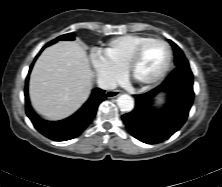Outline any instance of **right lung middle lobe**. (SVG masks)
Listing matches in <instances>:
<instances>
[{"label": "right lung middle lobe", "mask_w": 222, "mask_h": 187, "mask_svg": "<svg viewBox=\"0 0 222 187\" xmlns=\"http://www.w3.org/2000/svg\"><path fill=\"white\" fill-rule=\"evenodd\" d=\"M75 34L74 33H69V34H65L62 36H59L58 38L50 41L48 44H46L47 46L52 45L54 43H56L58 40H74Z\"/></svg>", "instance_id": "right-lung-middle-lobe-1"}]
</instances>
